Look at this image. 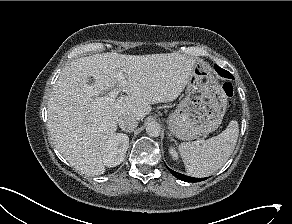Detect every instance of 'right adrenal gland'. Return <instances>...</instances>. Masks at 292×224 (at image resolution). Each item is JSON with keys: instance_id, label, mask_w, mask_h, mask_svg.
I'll return each mask as SVG.
<instances>
[{"instance_id": "obj_1", "label": "right adrenal gland", "mask_w": 292, "mask_h": 224, "mask_svg": "<svg viewBox=\"0 0 292 224\" xmlns=\"http://www.w3.org/2000/svg\"><path fill=\"white\" fill-rule=\"evenodd\" d=\"M122 131H124V132H126V133H131V131H125V130H122Z\"/></svg>"}]
</instances>
